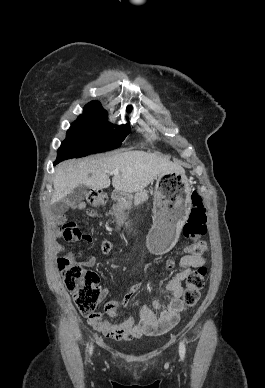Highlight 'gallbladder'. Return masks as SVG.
Here are the masks:
<instances>
[{"instance_id":"gallbladder-1","label":"gallbladder","mask_w":265,"mask_h":388,"mask_svg":"<svg viewBox=\"0 0 265 388\" xmlns=\"http://www.w3.org/2000/svg\"><path fill=\"white\" fill-rule=\"evenodd\" d=\"M89 194V188L87 186H77V188H74L73 192H70L66 198V202L68 204H73V206H77V204H80L81 200H84L86 196Z\"/></svg>"}]
</instances>
